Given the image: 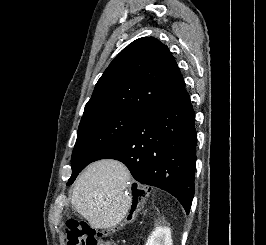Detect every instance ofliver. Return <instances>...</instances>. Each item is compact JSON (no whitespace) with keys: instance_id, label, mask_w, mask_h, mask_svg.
Masks as SVG:
<instances>
[{"instance_id":"liver-1","label":"liver","mask_w":266,"mask_h":245,"mask_svg":"<svg viewBox=\"0 0 266 245\" xmlns=\"http://www.w3.org/2000/svg\"><path fill=\"white\" fill-rule=\"evenodd\" d=\"M131 175L122 163L103 159L86 167L78 177L72 205L93 229H110L124 219L130 207L126 195Z\"/></svg>"}]
</instances>
